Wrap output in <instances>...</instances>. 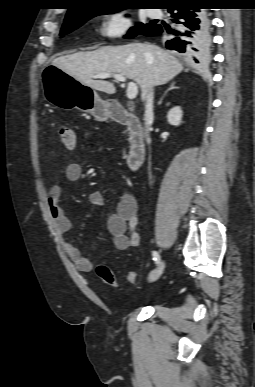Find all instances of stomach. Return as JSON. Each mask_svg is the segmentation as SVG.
<instances>
[{
	"instance_id": "1",
	"label": "stomach",
	"mask_w": 255,
	"mask_h": 387,
	"mask_svg": "<svg viewBox=\"0 0 255 387\" xmlns=\"http://www.w3.org/2000/svg\"><path fill=\"white\" fill-rule=\"evenodd\" d=\"M42 82L45 99L62 109L78 108L90 113L98 121L110 117V103L102 100L97 92L78 82L56 66L43 70Z\"/></svg>"
}]
</instances>
